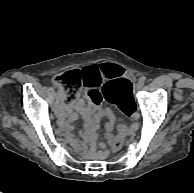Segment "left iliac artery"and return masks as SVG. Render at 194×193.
Instances as JSON below:
<instances>
[{
	"label": "left iliac artery",
	"mask_w": 194,
	"mask_h": 193,
	"mask_svg": "<svg viewBox=\"0 0 194 193\" xmlns=\"http://www.w3.org/2000/svg\"><path fill=\"white\" fill-rule=\"evenodd\" d=\"M145 80H146V78H145V77H141V78H140V80H139L140 84H141V85H143V84H144V82H145Z\"/></svg>",
	"instance_id": "1"
}]
</instances>
